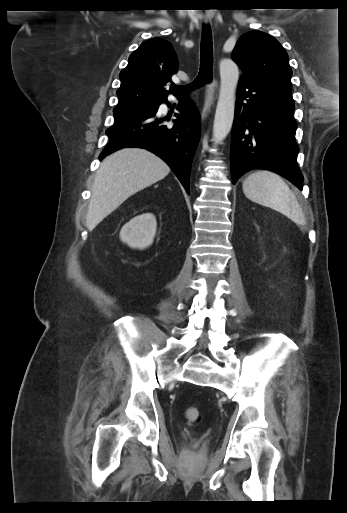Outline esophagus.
Instances as JSON below:
<instances>
[{"instance_id":"obj_1","label":"esophagus","mask_w":347,"mask_h":513,"mask_svg":"<svg viewBox=\"0 0 347 513\" xmlns=\"http://www.w3.org/2000/svg\"><path fill=\"white\" fill-rule=\"evenodd\" d=\"M218 91V81L216 78L206 84L205 86V94H204V105L202 116L206 117V115L210 112L211 107L214 105L217 98Z\"/></svg>"}]
</instances>
